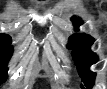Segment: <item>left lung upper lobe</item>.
I'll use <instances>...</instances> for the list:
<instances>
[{
    "instance_id": "1",
    "label": "left lung upper lobe",
    "mask_w": 107,
    "mask_h": 89,
    "mask_svg": "<svg viewBox=\"0 0 107 89\" xmlns=\"http://www.w3.org/2000/svg\"><path fill=\"white\" fill-rule=\"evenodd\" d=\"M72 21L76 27L81 25V19L73 17ZM94 39L86 34H74L69 38L68 49H72V55L77 64L79 74L87 89H91L94 85L96 74L89 70V66L98 61L95 53L90 51V46ZM82 85L81 87L84 88Z\"/></svg>"
}]
</instances>
